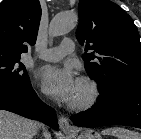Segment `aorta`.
<instances>
[{
  "mask_svg": "<svg viewBox=\"0 0 141 139\" xmlns=\"http://www.w3.org/2000/svg\"><path fill=\"white\" fill-rule=\"evenodd\" d=\"M76 25L74 14H58L50 23L49 35L51 37L62 36L70 32Z\"/></svg>",
  "mask_w": 141,
  "mask_h": 139,
  "instance_id": "762f6f07",
  "label": "aorta"
}]
</instances>
